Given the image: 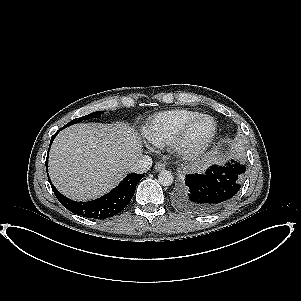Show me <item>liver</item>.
<instances>
[{"label": "liver", "mask_w": 301, "mask_h": 301, "mask_svg": "<svg viewBox=\"0 0 301 301\" xmlns=\"http://www.w3.org/2000/svg\"><path fill=\"white\" fill-rule=\"evenodd\" d=\"M140 155L142 142L126 124H77L55 138L49 175L64 196L91 200L116 187Z\"/></svg>", "instance_id": "6515ba94"}]
</instances>
